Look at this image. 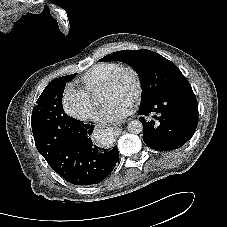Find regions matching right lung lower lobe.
Listing matches in <instances>:
<instances>
[{"instance_id":"98d812e1","label":"right lung lower lobe","mask_w":227,"mask_h":227,"mask_svg":"<svg viewBox=\"0 0 227 227\" xmlns=\"http://www.w3.org/2000/svg\"><path fill=\"white\" fill-rule=\"evenodd\" d=\"M62 142L45 159L66 181L75 185L97 184L113 170L119 159V151L99 148L93 144V125L73 119L65 126Z\"/></svg>"}]
</instances>
